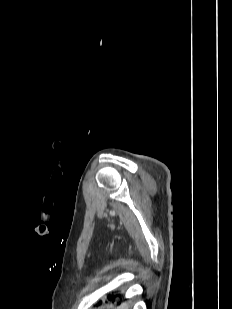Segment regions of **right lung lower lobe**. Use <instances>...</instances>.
I'll use <instances>...</instances> for the list:
<instances>
[{
  "label": "right lung lower lobe",
  "instance_id": "obj_1",
  "mask_svg": "<svg viewBox=\"0 0 232 309\" xmlns=\"http://www.w3.org/2000/svg\"><path fill=\"white\" fill-rule=\"evenodd\" d=\"M119 297H121V296L119 295ZM108 298H109L110 300L114 301V299H113L112 296L109 295Z\"/></svg>",
  "mask_w": 232,
  "mask_h": 309
}]
</instances>
